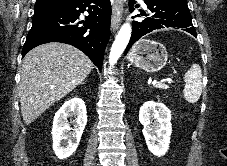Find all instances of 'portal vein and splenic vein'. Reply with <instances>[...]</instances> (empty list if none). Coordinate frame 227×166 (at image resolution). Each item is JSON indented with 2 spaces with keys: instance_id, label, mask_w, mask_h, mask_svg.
Segmentation results:
<instances>
[{
  "instance_id": "obj_1",
  "label": "portal vein and splenic vein",
  "mask_w": 227,
  "mask_h": 166,
  "mask_svg": "<svg viewBox=\"0 0 227 166\" xmlns=\"http://www.w3.org/2000/svg\"><path fill=\"white\" fill-rule=\"evenodd\" d=\"M161 82L174 83V81L170 78L163 79V80H161ZM153 84H156V81H153Z\"/></svg>"
}]
</instances>
